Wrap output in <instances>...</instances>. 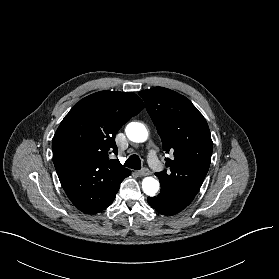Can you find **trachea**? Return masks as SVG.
Instances as JSON below:
<instances>
[{
  "label": "trachea",
  "instance_id": "3493384b",
  "mask_svg": "<svg viewBox=\"0 0 279 279\" xmlns=\"http://www.w3.org/2000/svg\"><path fill=\"white\" fill-rule=\"evenodd\" d=\"M124 166L135 169V170H140L141 169V160L138 155L133 154L126 160Z\"/></svg>",
  "mask_w": 279,
  "mask_h": 279
}]
</instances>
